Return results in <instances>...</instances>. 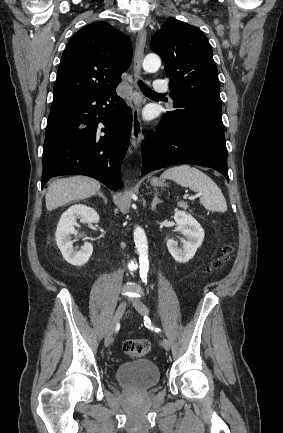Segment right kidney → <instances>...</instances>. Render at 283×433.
I'll return each mask as SVG.
<instances>
[{
  "mask_svg": "<svg viewBox=\"0 0 283 433\" xmlns=\"http://www.w3.org/2000/svg\"><path fill=\"white\" fill-rule=\"evenodd\" d=\"M77 219L88 224H96L100 220L95 209L82 204L73 205L62 214L57 225L55 239L63 258L71 265L82 266L90 259L93 246L86 242L79 250L73 247L70 235L75 234L74 225Z\"/></svg>",
  "mask_w": 283,
  "mask_h": 433,
  "instance_id": "obj_1",
  "label": "right kidney"
}]
</instances>
